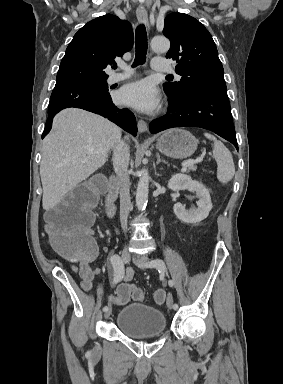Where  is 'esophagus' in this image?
I'll return each instance as SVG.
<instances>
[{
    "label": "esophagus",
    "mask_w": 283,
    "mask_h": 384,
    "mask_svg": "<svg viewBox=\"0 0 283 384\" xmlns=\"http://www.w3.org/2000/svg\"><path fill=\"white\" fill-rule=\"evenodd\" d=\"M136 14H137V19L139 20V22L143 23L147 27V29L149 30L148 14H147V11L145 10V8H141V7L137 8ZM137 126H138L139 132H145L147 130V124L142 119L138 120Z\"/></svg>",
    "instance_id": "esophagus-1"
}]
</instances>
